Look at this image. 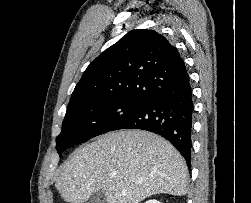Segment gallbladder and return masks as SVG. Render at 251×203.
<instances>
[{
	"label": "gallbladder",
	"instance_id": "1",
	"mask_svg": "<svg viewBox=\"0 0 251 203\" xmlns=\"http://www.w3.org/2000/svg\"><path fill=\"white\" fill-rule=\"evenodd\" d=\"M85 203H107L106 195L103 191L95 192Z\"/></svg>",
	"mask_w": 251,
	"mask_h": 203
}]
</instances>
